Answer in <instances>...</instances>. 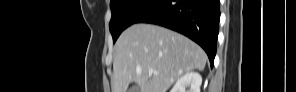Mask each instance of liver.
<instances>
[{
	"mask_svg": "<svg viewBox=\"0 0 296 92\" xmlns=\"http://www.w3.org/2000/svg\"><path fill=\"white\" fill-rule=\"evenodd\" d=\"M206 60L204 50L187 37L156 25L134 24L115 44L112 92H126L133 82L139 92H166L184 73L202 71Z\"/></svg>",
	"mask_w": 296,
	"mask_h": 92,
	"instance_id": "obj_1",
	"label": "liver"
}]
</instances>
